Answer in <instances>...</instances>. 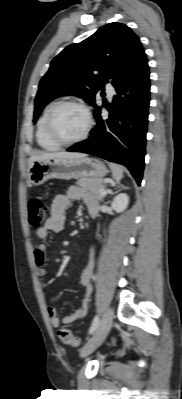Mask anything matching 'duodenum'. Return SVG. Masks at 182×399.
Listing matches in <instances>:
<instances>
[{"label": "duodenum", "instance_id": "1", "mask_svg": "<svg viewBox=\"0 0 182 399\" xmlns=\"http://www.w3.org/2000/svg\"><path fill=\"white\" fill-rule=\"evenodd\" d=\"M89 214H90L92 217H95L96 214H97V211L94 210V209H91V210H89Z\"/></svg>", "mask_w": 182, "mask_h": 399}]
</instances>
